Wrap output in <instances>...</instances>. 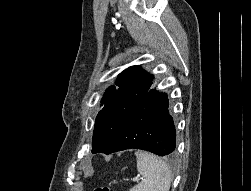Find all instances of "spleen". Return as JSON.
<instances>
[{
	"instance_id": "spleen-1",
	"label": "spleen",
	"mask_w": 251,
	"mask_h": 191,
	"mask_svg": "<svg viewBox=\"0 0 251 191\" xmlns=\"http://www.w3.org/2000/svg\"><path fill=\"white\" fill-rule=\"evenodd\" d=\"M135 155L137 171L143 175L144 179L131 187L130 191H169L171 185L169 165L161 157L149 151L137 149Z\"/></svg>"
}]
</instances>
